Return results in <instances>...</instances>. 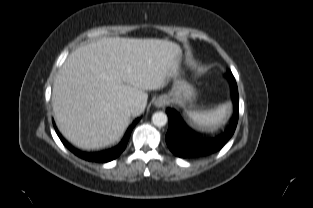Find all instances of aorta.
Masks as SVG:
<instances>
[{"label":"aorta","instance_id":"aorta-1","mask_svg":"<svg viewBox=\"0 0 313 208\" xmlns=\"http://www.w3.org/2000/svg\"><path fill=\"white\" fill-rule=\"evenodd\" d=\"M168 117L164 112H156L152 116V122L157 127H163L166 125Z\"/></svg>","mask_w":313,"mask_h":208}]
</instances>
